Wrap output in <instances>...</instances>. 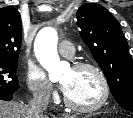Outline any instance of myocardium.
Wrapping results in <instances>:
<instances>
[{
    "mask_svg": "<svg viewBox=\"0 0 133 118\" xmlns=\"http://www.w3.org/2000/svg\"><path fill=\"white\" fill-rule=\"evenodd\" d=\"M72 68L75 70L88 69V70L93 71L97 75L100 81L102 93H101V97L99 98V100L96 103L89 105V106L75 105L67 98L66 95H64L63 101H64L65 106L69 110L76 112V113H91V112L97 111L100 108H102L107 103L110 97L109 82L103 70L98 65L91 63V62H76L73 64Z\"/></svg>",
    "mask_w": 133,
    "mask_h": 118,
    "instance_id": "myocardium-1",
    "label": "myocardium"
}]
</instances>
